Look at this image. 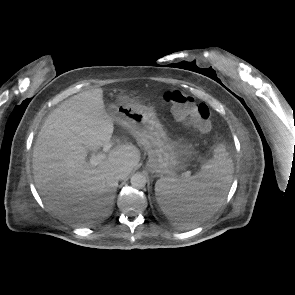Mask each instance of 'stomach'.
<instances>
[{"label":"stomach","instance_id":"stomach-1","mask_svg":"<svg viewBox=\"0 0 295 295\" xmlns=\"http://www.w3.org/2000/svg\"><path fill=\"white\" fill-rule=\"evenodd\" d=\"M108 113L126 127L148 153L147 167L159 176L172 175L180 166L183 145L171 140L152 107L129 101H119L108 107ZM162 211L165 208L160 204Z\"/></svg>","mask_w":295,"mask_h":295}]
</instances>
